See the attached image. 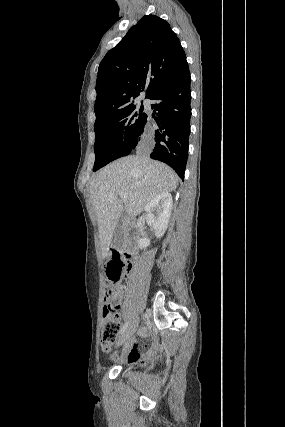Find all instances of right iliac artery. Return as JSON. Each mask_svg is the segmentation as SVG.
Listing matches in <instances>:
<instances>
[{
	"instance_id": "right-iliac-artery-1",
	"label": "right iliac artery",
	"mask_w": 285,
	"mask_h": 427,
	"mask_svg": "<svg viewBox=\"0 0 285 427\" xmlns=\"http://www.w3.org/2000/svg\"><path fill=\"white\" fill-rule=\"evenodd\" d=\"M128 324H129V322H126V323L124 324V326L121 328V334L125 332V330H126V329H127V327H128Z\"/></svg>"
}]
</instances>
